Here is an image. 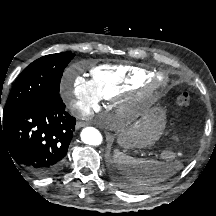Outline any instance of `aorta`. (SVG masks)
Wrapping results in <instances>:
<instances>
[{"label": "aorta", "instance_id": "1", "mask_svg": "<svg viewBox=\"0 0 216 216\" xmlns=\"http://www.w3.org/2000/svg\"><path fill=\"white\" fill-rule=\"evenodd\" d=\"M81 140L85 144L98 146L103 142V137L96 128L86 127L81 131Z\"/></svg>", "mask_w": 216, "mask_h": 216}]
</instances>
